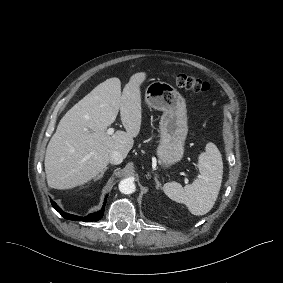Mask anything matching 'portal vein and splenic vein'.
<instances>
[{
  "label": "portal vein and splenic vein",
  "mask_w": 283,
  "mask_h": 283,
  "mask_svg": "<svg viewBox=\"0 0 283 283\" xmlns=\"http://www.w3.org/2000/svg\"><path fill=\"white\" fill-rule=\"evenodd\" d=\"M114 133V128H109L108 130H107V134L108 135H112Z\"/></svg>",
  "instance_id": "portal-vein-and-splenic-vein-1"
}]
</instances>
